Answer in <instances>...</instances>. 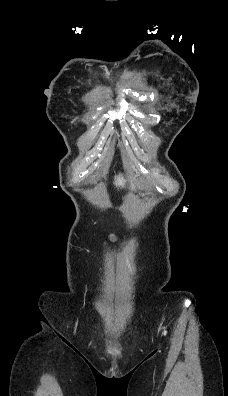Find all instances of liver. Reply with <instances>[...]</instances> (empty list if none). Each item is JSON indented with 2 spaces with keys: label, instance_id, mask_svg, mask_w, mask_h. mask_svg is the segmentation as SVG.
<instances>
[{
  "label": "liver",
  "instance_id": "liver-1",
  "mask_svg": "<svg viewBox=\"0 0 228 396\" xmlns=\"http://www.w3.org/2000/svg\"><path fill=\"white\" fill-rule=\"evenodd\" d=\"M124 184H125V180L121 176H118V177L115 178V185L116 186L123 187ZM132 187H134V186L132 185Z\"/></svg>",
  "mask_w": 228,
  "mask_h": 396
}]
</instances>
